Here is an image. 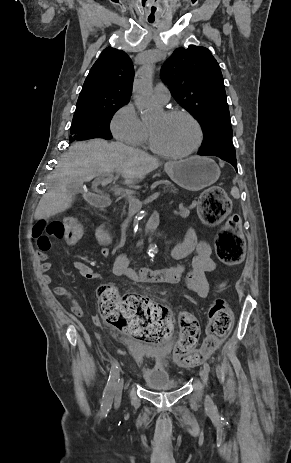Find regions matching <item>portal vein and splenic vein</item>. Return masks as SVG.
I'll return each mask as SVG.
<instances>
[{"label": "portal vein and splenic vein", "instance_id": "portal-vein-and-splenic-vein-1", "mask_svg": "<svg viewBox=\"0 0 291 463\" xmlns=\"http://www.w3.org/2000/svg\"><path fill=\"white\" fill-rule=\"evenodd\" d=\"M111 178H112V175L108 174V179L101 181V184H102L103 186L107 185L108 180L111 179ZM114 192H115L116 194H118V195H121V194L123 193V191H122L121 189H118V188H115V189H114ZM159 195H160V192H155V193L151 196V199L157 198ZM126 198H127L128 201H129L130 207H131L134 211H137V210L141 209L143 203H142L139 199L133 197V196L130 195V194L126 195Z\"/></svg>", "mask_w": 291, "mask_h": 463}]
</instances>
